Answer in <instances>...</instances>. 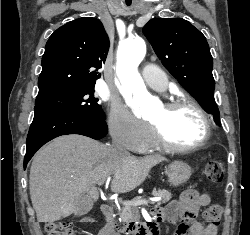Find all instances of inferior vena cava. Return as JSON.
Here are the masks:
<instances>
[{"label":"inferior vena cava","mask_w":250,"mask_h":235,"mask_svg":"<svg viewBox=\"0 0 250 235\" xmlns=\"http://www.w3.org/2000/svg\"><path fill=\"white\" fill-rule=\"evenodd\" d=\"M111 149L114 153L117 154H127L126 149L115 139H113Z\"/></svg>","instance_id":"602c4592"}]
</instances>
